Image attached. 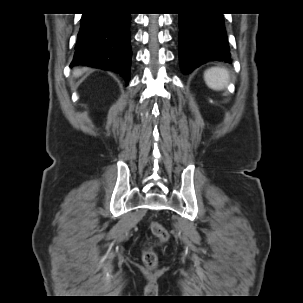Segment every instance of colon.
<instances>
[{"mask_svg": "<svg viewBox=\"0 0 303 303\" xmlns=\"http://www.w3.org/2000/svg\"><path fill=\"white\" fill-rule=\"evenodd\" d=\"M152 233L156 236V242L152 245L144 247L142 250V261L148 268L154 269L158 264V255L154 249V245H162L169 240L168 231L159 223L153 222L151 224Z\"/></svg>", "mask_w": 303, "mask_h": 303, "instance_id": "obj_1", "label": "colon"}]
</instances>
